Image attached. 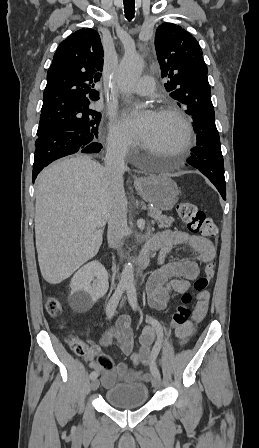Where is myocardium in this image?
Segmentation results:
<instances>
[{"mask_svg": "<svg viewBox=\"0 0 259 448\" xmlns=\"http://www.w3.org/2000/svg\"><path fill=\"white\" fill-rule=\"evenodd\" d=\"M157 115H172L179 121L182 128L181 136L174 145L166 150V153L177 158L184 157L192 137V126L188 118L179 107L171 103L160 106Z\"/></svg>", "mask_w": 259, "mask_h": 448, "instance_id": "obj_1", "label": "myocardium"}]
</instances>
